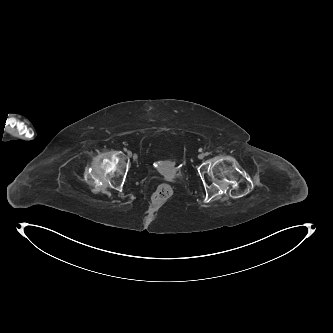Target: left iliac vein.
Returning <instances> with one entry per match:
<instances>
[{
	"label": "left iliac vein",
	"instance_id": "4c4485c4",
	"mask_svg": "<svg viewBox=\"0 0 333 333\" xmlns=\"http://www.w3.org/2000/svg\"><path fill=\"white\" fill-rule=\"evenodd\" d=\"M204 157H205V154H204V153H201V154L198 155V158H199V159H203Z\"/></svg>",
	"mask_w": 333,
	"mask_h": 333
}]
</instances>
